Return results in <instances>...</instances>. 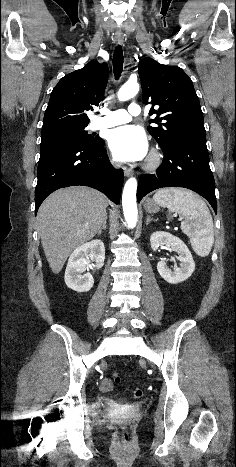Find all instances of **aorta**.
Here are the masks:
<instances>
[{"instance_id": "762f6f07", "label": "aorta", "mask_w": 236, "mask_h": 467, "mask_svg": "<svg viewBox=\"0 0 236 467\" xmlns=\"http://www.w3.org/2000/svg\"><path fill=\"white\" fill-rule=\"evenodd\" d=\"M139 92L137 81H127L118 91L117 97L120 101H126ZM137 180L131 177L125 183L122 193L123 213L128 227L134 228L137 224L138 210L136 203Z\"/></svg>"}]
</instances>
